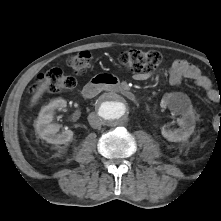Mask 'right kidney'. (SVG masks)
<instances>
[{
	"mask_svg": "<svg viewBox=\"0 0 221 221\" xmlns=\"http://www.w3.org/2000/svg\"><path fill=\"white\" fill-rule=\"evenodd\" d=\"M66 107V101L58 98L43 107L39 113L34 127L40 138L51 144H65L73 138V131L65 130L61 134H57L60 126L52 124L54 112L56 109Z\"/></svg>",
	"mask_w": 221,
	"mask_h": 221,
	"instance_id": "ca27d5eb",
	"label": "right kidney"
}]
</instances>
